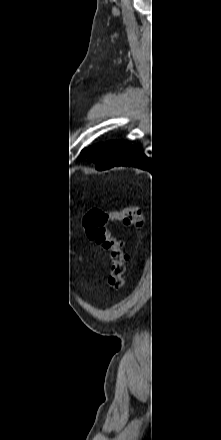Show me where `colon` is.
I'll list each match as a JSON object with an SVG mask.
<instances>
[{
	"label": "colon",
	"instance_id": "obj_1",
	"mask_svg": "<svg viewBox=\"0 0 221 440\" xmlns=\"http://www.w3.org/2000/svg\"><path fill=\"white\" fill-rule=\"evenodd\" d=\"M120 220L138 226L142 224L143 216L141 211L130 209L117 213H105L102 216L87 215L84 220L88 238L102 249L110 252L112 266L109 285L115 291L122 289L124 285L127 255L123 250L121 241L109 234L106 224Z\"/></svg>",
	"mask_w": 221,
	"mask_h": 440
}]
</instances>
